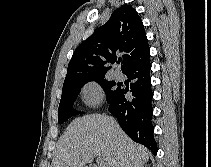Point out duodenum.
<instances>
[{
    "label": "duodenum",
    "instance_id": "1",
    "mask_svg": "<svg viewBox=\"0 0 211 167\" xmlns=\"http://www.w3.org/2000/svg\"><path fill=\"white\" fill-rule=\"evenodd\" d=\"M88 167H97V166H95V165H90V166H88Z\"/></svg>",
    "mask_w": 211,
    "mask_h": 167
}]
</instances>
